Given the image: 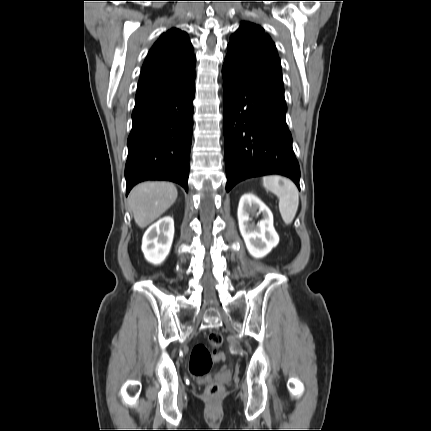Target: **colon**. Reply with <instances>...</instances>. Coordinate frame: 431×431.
<instances>
[{
	"label": "colon",
	"mask_w": 431,
	"mask_h": 431,
	"mask_svg": "<svg viewBox=\"0 0 431 431\" xmlns=\"http://www.w3.org/2000/svg\"><path fill=\"white\" fill-rule=\"evenodd\" d=\"M223 344V337L217 331H212L207 337L206 343L197 344L191 353L189 371L195 378L206 376L214 363H226V355L219 353ZM222 392V386L218 382L210 383L206 388V395L209 398H215Z\"/></svg>",
	"instance_id": "5ec220e1"
}]
</instances>
